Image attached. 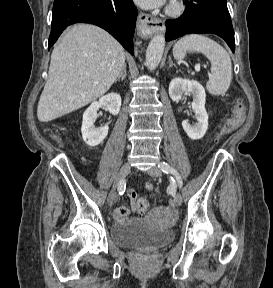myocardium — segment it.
<instances>
[{"instance_id":"f54148a6","label":"myocardium","mask_w":273,"mask_h":288,"mask_svg":"<svg viewBox=\"0 0 273 288\" xmlns=\"http://www.w3.org/2000/svg\"><path fill=\"white\" fill-rule=\"evenodd\" d=\"M185 6L181 0H174L168 7L167 13L171 16H179L184 12Z\"/></svg>"}]
</instances>
